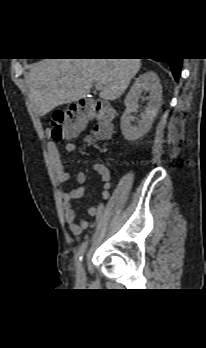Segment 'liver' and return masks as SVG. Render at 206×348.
<instances>
[{
    "label": "liver",
    "mask_w": 206,
    "mask_h": 348,
    "mask_svg": "<svg viewBox=\"0 0 206 348\" xmlns=\"http://www.w3.org/2000/svg\"><path fill=\"white\" fill-rule=\"evenodd\" d=\"M140 67L141 59H43L32 65L26 82L31 102L43 116L85 98L94 82L103 86L100 98H119Z\"/></svg>",
    "instance_id": "1"
}]
</instances>
